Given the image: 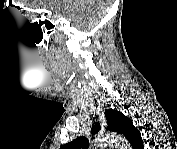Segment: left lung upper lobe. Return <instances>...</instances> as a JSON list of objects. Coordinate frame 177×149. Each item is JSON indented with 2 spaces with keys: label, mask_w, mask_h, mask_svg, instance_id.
<instances>
[{
  "label": "left lung upper lobe",
  "mask_w": 177,
  "mask_h": 149,
  "mask_svg": "<svg viewBox=\"0 0 177 149\" xmlns=\"http://www.w3.org/2000/svg\"><path fill=\"white\" fill-rule=\"evenodd\" d=\"M105 116L107 120V130L117 132L119 134L124 135L127 140L130 142L134 149L139 148L142 142L140 132L133 126L132 121L124 116L122 113L118 112L117 110H106ZM100 129V124L96 123L91 133H97ZM88 147V139L86 137L80 136L63 145L62 149H87Z\"/></svg>",
  "instance_id": "1"
}]
</instances>
